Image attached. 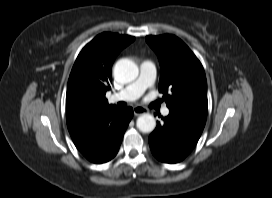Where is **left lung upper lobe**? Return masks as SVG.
Returning a JSON list of instances; mask_svg holds the SVG:
<instances>
[{"mask_svg": "<svg viewBox=\"0 0 272 198\" xmlns=\"http://www.w3.org/2000/svg\"><path fill=\"white\" fill-rule=\"evenodd\" d=\"M160 63L159 92L169 110L207 117V81L203 66L189 47L174 35L147 36Z\"/></svg>", "mask_w": 272, "mask_h": 198, "instance_id": "left-lung-upper-lobe-1", "label": "left lung upper lobe"}]
</instances>
